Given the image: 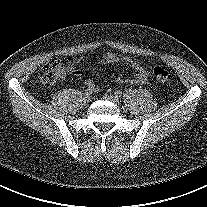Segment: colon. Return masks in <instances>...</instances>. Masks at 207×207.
I'll return each mask as SVG.
<instances>
[{
    "label": "colon",
    "instance_id": "colon-1",
    "mask_svg": "<svg viewBox=\"0 0 207 207\" xmlns=\"http://www.w3.org/2000/svg\"><path fill=\"white\" fill-rule=\"evenodd\" d=\"M63 72L64 68L60 60L58 58H53L41 68L39 77L42 83L51 86L56 83ZM153 74L160 83H166L169 80V72L163 67H155L153 69Z\"/></svg>",
    "mask_w": 207,
    "mask_h": 207
}]
</instances>
